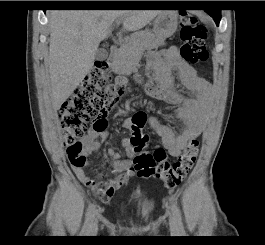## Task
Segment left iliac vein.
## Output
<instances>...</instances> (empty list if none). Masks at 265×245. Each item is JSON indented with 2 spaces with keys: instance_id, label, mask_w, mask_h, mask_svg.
<instances>
[{
  "instance_id": "1",
  "label": "left iliac vein",
  "mask_w": 265,
  "mask_h": 245,
  "mask_svg": "<svg viewBox=\"0 0 265 245\" xmlns=\"http://www.w3.org/2000/svg\"><path fill=\"white\" fill-rule=\"evenodd\" d=\"M169 225H170V231L172 233H175L177 231V226H176L174 216L172 214L169 216Z\"/></svg>"
}]
</instances>
